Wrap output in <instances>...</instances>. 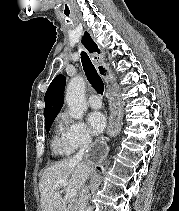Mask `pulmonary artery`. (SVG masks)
<instances>
[{
  "label": "pulmonary artery",
  "mask_w": 179,
  "mask_h": 211,
  "mask_svg": "<svg viewBox=\"0 0 179 211\" xmlns=\"http://www.w3.org/2000/svg\"><path fill=\"white\" fill-rule=\"evenodd\" d=\"M89 105L93 109H99L102 107L101 98L97 94H93L89 97Z\"/></svg>",
  "instance_id": "1"
}]
</instances>
